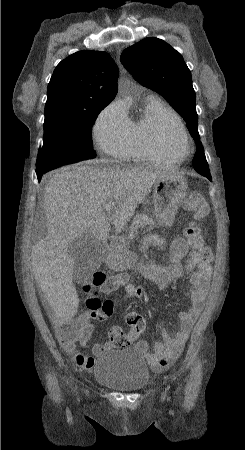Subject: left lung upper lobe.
I'll return each instance as SVG.
<instances>
[{"label":"left lung upper lobe","mask_w":245,"mask_h":450,"mask_svg":"<svg viewBox=\"0 0 245 450\" xmlns=\"http://www.w3.org/2000/svg\"><path fill=\"white\" fill-rule=\"evenodd\" d=\"M120 60L140 84L157 91L173 105L186 121L197 149L201 147L191 72L181 54L152 37L125 49ZM192 164L198 173L210 172L204 153L196 152Z\"/></svg>","instance_id":"obj_1"}]
</instances>
